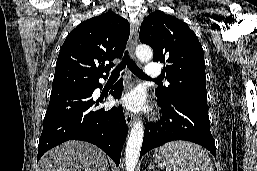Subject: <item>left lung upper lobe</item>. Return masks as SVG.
Instances as JSON below:
<instances>
[{
  "mask_svg": "<svg viewBox=\"0 0 257 171\" xmlns=\"http://www.w3.org/2000/svg\"><path fill=\"white\" fill-rule=\"evenodd\" d=\"M139 37L141 43L152 47L154 62L167 63L163 74L170 85L155 90L158 99L184 98L207 103L203 49L186 23L155 11L142 22Z\"/></svg>",
  "mask_w": 257,
  "mask_h": 171,
  "instance_id": "obj_1",
  "label": "left lung upper lobe"
}]
</instances>
